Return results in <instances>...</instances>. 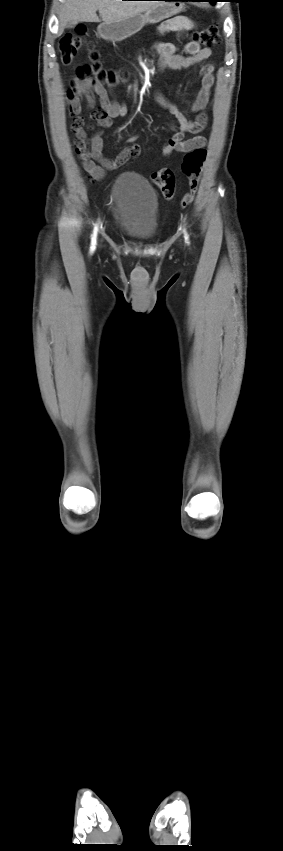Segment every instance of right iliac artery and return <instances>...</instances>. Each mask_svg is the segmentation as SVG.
Returning <instances> with one entry per match:
<instances>
[{
  "label": "right iliac artery",
  "mask_w": 283,
  "mask_h": 851,
  "mask_svg": "<svg viewBox=\"0 0 283 851\" xmlns=\"http://www.w3.org/2000/svg\"><path fill=\"white\" fill-rule=\"evenodd\" d=\"M96 230H97V229L95 228V230H94V234H93V238H92V246H91V250H92V251L95 249V243H96Z\"/></svg>",
  "instance_id": "right-iliac-artery-1"
}]
</instances>
